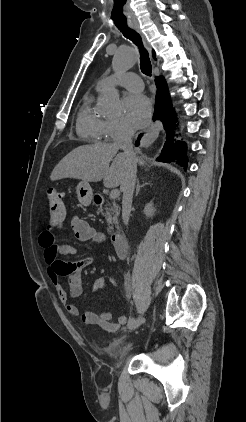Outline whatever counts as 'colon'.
Masks as SVG:
<instances>
[{"label": "colon", "instance_id": "5ec220e1", "mask_svg": "<svg viewBox=\"0 0 246 422\" xmlns=\"http://www.w3.org/2000/svg\"><path fill=\"white\" fill-rule=\"evenodd\" d=\"M47 200L50 213V225L53 227L62 224L65 218V207L62 193L57 190L50 189L48 191Z\"/></svg>", "mask_w": 246, "mask_h": 422}]
</instances>
